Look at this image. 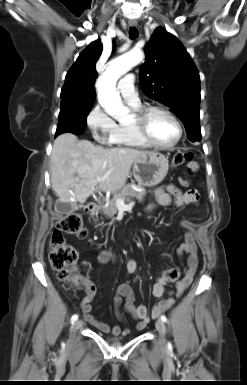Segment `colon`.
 I'll use <instances>...</instances> for the list:
<instances>
[{
    "label": "colon",
    "instance_id": "colon-1",
    "mask_svg": "<svg viewBox=\"0 0 247 385\" xmlns=\"http://www.w3.org/2000/svg\"><path fill=\"white\" fill-rule=\"evenodd\" d=\"M193 159V153L180 152L174 156L173 163L176 166L185 165L187 172L194 175L198 173L199 165ZM181 184L185 185V182ZM65 235H76L80 238L86 236L79 214H68L57 220L49 239V261L60 281L68 282L76 289L86 290L88 287L86 279L74 273L78 260L77 251L65 241Z\"/></svg>",
    "mask_w": 247,
    "mask_h": 385
}]
</instances>
